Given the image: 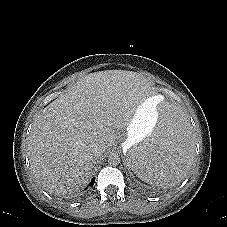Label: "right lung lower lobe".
<instances>
[{
	"mask_svg": "<svg viewBox=\"0 0 227 227\" xmlns=\"http://www.w3.org/2000/svg\"><path fill=\"white\" fill-rule=\"evenodd\" d=\"M94 182H95V179L93 178L92 180H91V182H90V184H89V186H93L94 185Z\"/></svg>",
	"mask_w": 227,
	"mask_h": 227,
	"instance_id": "98d812e1",
	"label": "right lung lower lobe"
}]
</instances>
